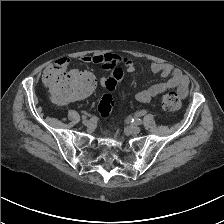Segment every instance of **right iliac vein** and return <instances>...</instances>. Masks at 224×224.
Instances as JSON below:
<instances>
[{
	"instance_id": "63e3f726",
	"label": "right iliac vein",
	"mask_w": 224,
	"mask_h": 224,
	"mask_svg": "<svg viewBox=\"0 0 224 224\" xmlns=\"http://www.w3.org/2000/svg\"><path fill=\"white\" fill-rule=\"evenodd\" d=\"M83 124L87 127H92L93 123L90 120H84Z\"/></svg>"
}]
</instances>
